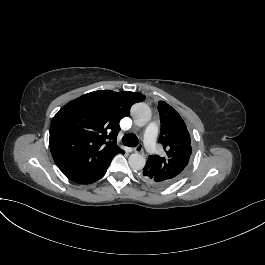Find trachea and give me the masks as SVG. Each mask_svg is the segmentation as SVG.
<instances>
[{
	"label": "trachea",
	"instance_id": "1",
	"mask_svg": "<svg viewBox=\"0 0 265 265\" xmlns=\"http://www.w3.org/2000/svg\"><path fill=\"white\" fill-rule=\"evenodd\" d=\"M122 142L126 145V146H130V147H135L138 145L139 140L137 138V136L135 134H128L125 135L122 138Z\"/></svg>",
	"mask_w": 265,
	"mask_h": 265
}]
</instances>
